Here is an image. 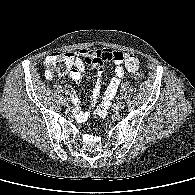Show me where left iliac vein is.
Returning <instances> with one entry per match:
<instances>
[{"label": "left iliac vein", "mask_w": 195, "mask_h": 195, "mask_svg": "<svg viewBox=\"0 0 195 195\" xmlns=\"http://www.w3.org/2000/svg\"><path fill=\"white\" fill-rule=\"evenodd\" d=\"M124 107H125V103H124V101H122V100L118 101V102L115 104V109H116V110L123 109Z\"/></svg>", "instance_id": "obj_1"}]
</instances>
